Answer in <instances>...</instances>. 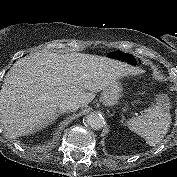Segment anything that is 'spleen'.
I'll return each mask as SVG.
<instances>
[{
  "mask_svg": "<svg viewBox=\"0 0 177 177\" xmlns=\"http://www.w3.org/2000/svg\"><path fill=\"white\" fill-rule=\"evenodd\" d=\"M156 104L141 116L127 121L128 128L144 138L150 146L160 143L171 124L170 102L166 95H158Z\"/></svg>",
  "mask_w": 177,
  "mask_h": 177,
  "instance_id": "1",
  "label": "spleen"
}]
</instances>
